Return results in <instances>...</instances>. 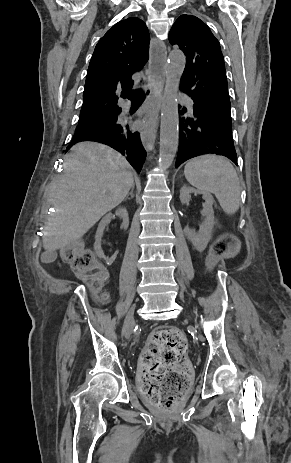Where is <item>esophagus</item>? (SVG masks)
<instances>
[{
	"mask_svg": "<svg viewBox=\"0 0 291 463\" xmlns=\"http://www.w3.org/2000/svg\"><path fill=\"white\" fill-rule=\"evenodd\" d=\"M167 60L166 45L163 41L152 38L150 43V69L151 77L156 86V92L151 94V103L148 111V120L151 126L148 130L141 131V140L147 151H151L157 135L159 124V112L162 103V92L165 81V65Z\"/></svg>",
	"mask_w": 291,
	"mask_h": 463,
	"instance_id": "1",
	"label": "esophagus"
}]
</instances>
